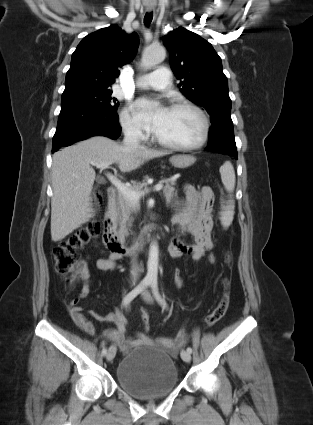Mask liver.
<instances>
[{"label":"liver","mask_w":313,"mask_h":425,"mask_svg":"<svg viewBox=\"0 0 313 425\" xmlns=\"http://www.w3.org/2000/svg\"><path fill=\"white\" fill-rule=\"evenodd\" d=\"M139 147L127 149L103 136L91 137L54 153L52 162L51 238L57 242L93 217L91 193L95 171L91 162L116 163L121 172L137 169L150 159L168 155Z\"/></svg>","instance_id":"1"}]
</instances>
